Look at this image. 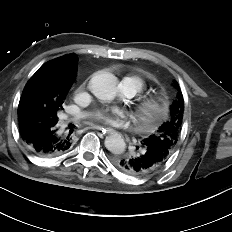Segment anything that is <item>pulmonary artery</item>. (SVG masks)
I'll return each instance as SVG.
<instances>
[{
	"mask_svg": "<svg viewBox=\"0 0 232 232\" xmlns=\"http://www.w3.org/2000/svg\"><path fill=\"white\" fill-rule=\"evenodd\" d=\"M121 89L123 93L129 97H132L138 93V89L136 88V86L132 82L125 79H123L121 82Z\"/></svg>",
	"mask_w": 232,
	"mask_h": 232,
	"instance_id": "e3ab8cb5",
	"label": "pulmonary artery"
}]
</instances>
